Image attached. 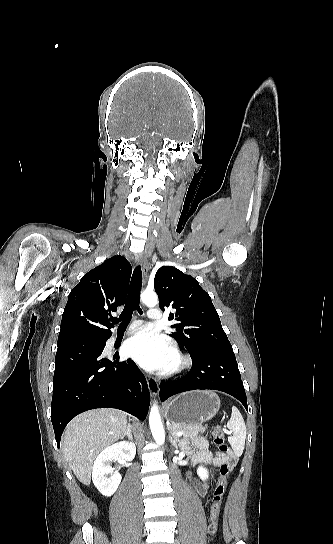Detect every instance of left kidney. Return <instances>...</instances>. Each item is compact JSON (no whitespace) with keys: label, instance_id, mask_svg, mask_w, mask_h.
I'll return each mask as SVG.
<instances>
[{"label":"left kidney","instance_id":"left-kidney-1","mask_svg":"<svg viewBox=\"0 0 333 544\" xmlns=\"http://www.w3.org/2000/svg\"><path fill=\"white\" fill-rule=\"evenodd\" d=\"M197 474L202 480H206L208 478V470L203 466L198 467Z\"/></svg>","mask_w":333,"mask_h":544}]
</instances>
